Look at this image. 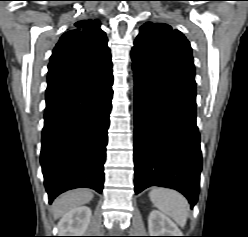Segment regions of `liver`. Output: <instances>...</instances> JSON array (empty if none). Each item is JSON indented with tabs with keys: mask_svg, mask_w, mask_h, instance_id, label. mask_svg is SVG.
Instances as JSON below:
<instances>
[{
	"mask_svg": "<svg viewBox=\"0 0 248 237\" xmlns=\"http://www.w3.org/2000/svg\"><path fill=\"white\" fill-rule=\"evenodd\" d=\"M93 193L88 189H77L59 196L52 205L54 219H58L70 210L90 202Z\"/></svg>",
	"mask_w": 248,
	"mask_h": 237,
	"instance_id": "1",
	"label": "liver"
}]
</instances>
